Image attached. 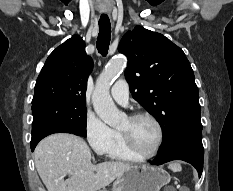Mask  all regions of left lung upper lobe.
Wrapping results in <instances>:
<instances>
[{"label": "left lung upper lobe", "mask_w": 233, "mask_h": 191, "mask_svg": "<svg viewBox=\"0 0 233 191\" xmlns=\"http://www.w3.org/2000/svg\"><path fill=\"white\" fill-rule=\"evenodd\" d=\"M118 51L128 58L125 76L133 98L162 127L160 150L182 133L202 130L198 88L182 49L164 35L136 26L124 34Z\"/></svg>", "instance_id": "1"}]
</instances>
